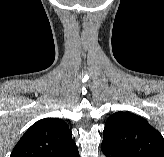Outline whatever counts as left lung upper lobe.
<instances>
[{
  "label": "left lung upper lobe",
  "mask_w": 164,
  "mask_h": 157,
  "mask_svg": "<svg viewBox=\"0 0 164 157\" xmlns=\"http://www.w3.org/2000/svg\"><path fill=\"white\" fill-rule=\"evenodd\" d=\"M103 143L122 157H164V139L144 118L117 112L105 124Z\"/></svg>",
  "instance_id": "obj_1"
}]
</instances>
